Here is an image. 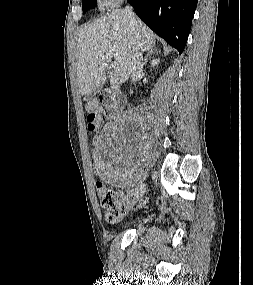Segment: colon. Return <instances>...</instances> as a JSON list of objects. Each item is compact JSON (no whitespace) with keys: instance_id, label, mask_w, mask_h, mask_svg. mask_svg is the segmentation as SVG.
Returning <instances> with one entry per match:
<instances>
[{"instance_id":"obj_1","label":"colon","mask_w":253,"mask_h":285,"mask_svg":"<svg viewBox=\"0 0 253 285\" xmlns=\"http://www.w3.org/2000/svg\"><path fill=\"white\" fill-rule=\"evenodd\" d=\"M87 110L88 129L93 131L99 126L101 121L99 103L96 101L89 102ZM90 136L94 137L95 133L91 132ZM94 140L98 141L99 137L95 136ZM96 191L100 199L101 207L104 210L107 219L111 222L118 220L121 214L128 207L129 199L126 196L106 187L100 182L96 184Z\"/></svg>"}]
</instances>
